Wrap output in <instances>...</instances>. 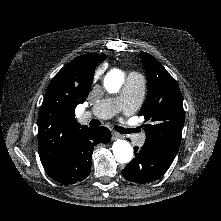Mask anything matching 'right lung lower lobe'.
Wrapping results in <instances>:
<instances>
[{
  "mask_svg": "<svg viewBox=\"0 0 221 221\" xmlns=\"http://www.w3.org/2000/svg\"><path fill=\"white\" fill-rule=\"evenodd\" d=\"M111 132L106 127L80 130L67 145L57 170L51 177L63 184L84 180L91 171V157L98 143H108Z\"/></svg>",
  "mask_w": 221,
  "mask_h": 221,
  "instance_id": "obj_1",
  "label": "right lung lower lobe"
}]
</instances>
